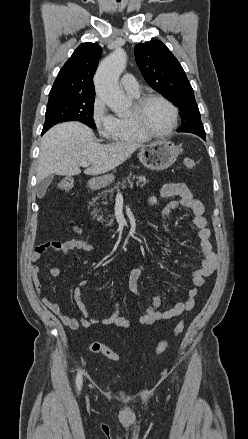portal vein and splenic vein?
<instances>
[{
    "instance_id": "portal-vein-and-splenic-vein-1",
    "label": "portal vein and splenic vein",
    "mask_w": 248,
    "mask_h": 439,
    "mask_svg": "<svg viewBox=\"0 0 248 439\" xmlns=\"http://www.w3.org/2000/svg\"><path fill=\"white\" fill-rule=\"evenodd\" d=\"M79 165L82 167H88L90 165V163L89 162H80Z\"/></svg>"
}]
</instances>
